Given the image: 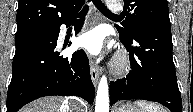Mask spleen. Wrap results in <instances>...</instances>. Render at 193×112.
Segmentation results:
<instances>
[{
  "label": "spleen",
  "instance_id": "obj_1",
  "mask_svg": "<svg viewBox=\"0 0 193 112\" xmlns=\"http://www.w3.org/2000/svg\"><path fill=\"white\" fill-rule=\"evenodd\" d=\"M139 107H141L144 112H163L162 109L155 103L146 102L144 100L135 101Z\"/></svg>",
  "mask_w": 193,
  "mask_h": 112
}]
</instances>
